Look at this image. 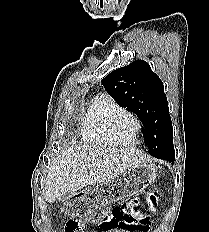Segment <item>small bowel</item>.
<instances>
[{
	"mask_svg": "<svg viewBox=\"0 0 209 232\" xmlns=\"http://www.w3.org/2000/svg\"><path fill=\"white\" fill-rule=\"evenodd\" d=\"M136 206H138V201L136 198H131L130 201H128L127 209H136ZM140 218L147 219L149 221L148 216L144 213H140ZM102 232H146L149 229V226H144L141 228L136 229H126V228H100Z\"/></svg>",
	"mask_w": 209,
	"mask_h": 232,
	"instance_id": "small-bowel-1",
	"label": "small bowel"
}]
</instances>
